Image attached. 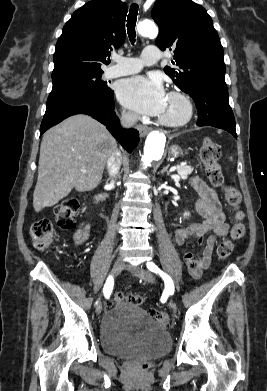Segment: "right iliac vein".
<instances>
[{
	"instance_id": "1",
	"label": "right iliac vein",
	"mask_w": 267,
	"mask_h": 391,
	"mask_svg": "<svg viewBox=\"0 0 267 391\" xmlns=\"http://www.w3.org/2000/svg\"><path fill=\"white\" fill-rule=\"evenodd\" d=\"M124 268V262L122 259L118 258L112 268V276L116 277ZM102 312V302L100 301L96 308V314L99 315Z\"/></svg>"
}]
</instances>
